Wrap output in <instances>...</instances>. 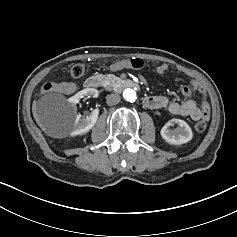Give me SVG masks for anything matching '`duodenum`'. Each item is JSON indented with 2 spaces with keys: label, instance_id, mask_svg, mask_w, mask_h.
<instances>
[{
  "label": "duodenum",
  "instance_id": "obj_1",
  "mask_svg": "<svg viewBox=\"0 0 237 237\" xmlns=\"http://www.w3.org/2000/svg\"><path fill=\"white\" fill-rule=\"evenodd\" d=\"M102 84H103V79L99 76H91L85 82V86L89 89H97L101 87ZM122 84L129 88H135V89L139 88V84L131 79L123 80Z\"/></svg>",
  "mask_w": 237,
  "mask_h": 237
}]
</instances>
